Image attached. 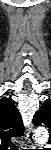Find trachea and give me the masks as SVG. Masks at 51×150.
I'll return each instance as SVG.
<instances>
[{"instance_id":"trachea-1","label":"trachea","mask_w":51,"mask_h":150,"mask_svg":"<svg viewBox=\"0 0 51 150\" xmlns=\"http://www.w3.org/2000/svg\"><path fill=\"white\" fill-rule=\"evenodd\" d=\"M11 150H18L16 146L11 147Z\"/></svg>"}]
</instances>
